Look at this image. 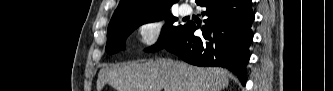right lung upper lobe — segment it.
Instances as JSON below:
<instances>
[{
    "label": "right lung upper lobe",
    "instance_id": "cb5924a9",
    "mask_svg": "<svg viewBox=\"0 0 333 91\" xmlns=\"http://www.w3.org/2000/svg\"><path fill=\"white\" fill-rule=\"evenodd\" d=\"M178 0H121L110 21H122L129 18L169 11ZM201 0H196L199 3Z\"/></svg>",
    "mask_w": 333,
    "mask_h": 91
}]
</instances>
